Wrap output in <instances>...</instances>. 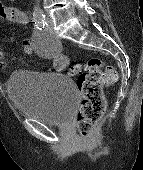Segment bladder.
Returning a JSON list of instances; mask_svg holds the SVG:
<instances>
[{
    "instance_id": "1",
    "label": "bladder",
    "mask_w": 143,
    "mask_h": 170,
    "mask_svg": "<svg viewBox=\"0 0 143 170\" xmlns=\"http://www.w3.org/2000/svg\"><path fill=\"white\" fill-rule=\"evenodd\" d=\"M6 91L22 115L49 125L69 122L78 98L74 81L54 72L15 71L7 78Z\"/></svg>"
}]
</instances>
